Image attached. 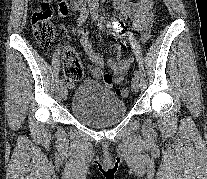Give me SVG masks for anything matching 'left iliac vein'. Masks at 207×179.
Masks as SVG:
<instances>
[{
  "label": "left iliac vein",
  "instance_id": "1",
  "mask_svg": "<svg viewBox=\"0 0 207 179\" xmlns=\"http://www.w3.org/2000/svg\"><path fill=\"white\" fill-rule=\"evenodd\" d=\"M139 87H140L139 78L134 77V78L132 79V88H133L135 91H138Z\"/></svg>",
  "mask_w": 207,
  "mask_h": 179
}]
</instances>
